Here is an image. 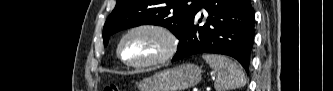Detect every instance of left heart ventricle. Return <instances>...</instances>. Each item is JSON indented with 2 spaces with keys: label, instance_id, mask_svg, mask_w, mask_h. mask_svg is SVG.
<instances>
[{
  "label": "left heart ventricle",
  "instance_id": "obj_1",
  "mask_svg": "<svg viewBox=\"0 0 333 91\" xmlns=\"http://www.w3.org/2000/svg\"><path fill=\"white\" fill-rule=\"evenodd\" d=\"M165 49L164 40L157 34L140 31L131 34L123 46V55L128 62H142L160 56Z\"/></svg>",
  "mask_w": 333,
  "mask_h": 91
}]
</instances>
